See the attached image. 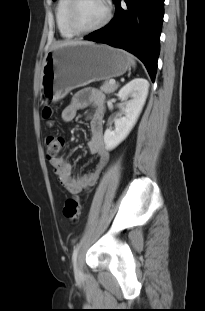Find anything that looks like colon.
I'll return each instance as SVG.
<instances>
[{
	"instance_id": "5ec220e1",
	"label": "colon",
	"mask_w": 205,
	"mask_h": 311,
	"mask_svg": "<svg viewBox=\"0 0 205 311\" xmlns=\"http://www.w3.org/2000/svg\"><path fill=\"white\" fill-rule=\"evenodd\" d=\"M53 116V110L51 108H45L43 110V117L51 124ZM65 145L64 138L56 135H48L45 138L46 146V157L50 161L59 157L60 152L62 151ZM63 214L66 219L76 223L80 219L81 214V200L78 196L74 195L66 199Z\"/></svg>"
}]
</instances>
